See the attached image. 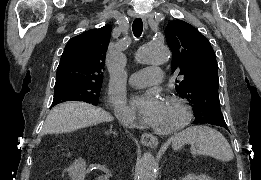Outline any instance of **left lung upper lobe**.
Here are the masks:
<instances>
[{"label":"left lung upper lobe","mask_w":261,"mask_h":180,"mask_svg":"<svg viewBox=\"0 0 261 180\" xmlns=\"http://www.w3.org/2000/svg\"><path fill=\"white\" fill-rule=\"evenodd\" d=\"M165 36L173 54L172 72L182 79L176 91L192 105L194 122L226 124L220 109L218 65L208 39L181 20L171 21Z\"/></svg>","instance_id":"left-lung-upper-lobe-1"}]
</instances>
